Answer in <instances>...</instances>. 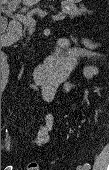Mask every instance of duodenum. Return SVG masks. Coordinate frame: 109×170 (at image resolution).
Wrapping results in <instances>:
<instances>
[{
    "mask_svg": "<svg viewBox=\"0 0 109 170\" xmlns=\"http://www.w3.org/2000/svg\"><path fill=\"white\" fill-rule=\"evenodd\" d=\"M17 23H11L10 29L7 33L3 34L2 45L8 47L12 43V34L13 30L17 29ZM69 41L68 39H61L59 43V50L53 56L48 57L45 61L39 63L34 69L32 76L29 81V87L31 89H40L48 90L54 88L55 82L52 78L49 77V72L53 67H56L60 64L61 61H67L70 64L76 62V57L74 54L63 55L66 50H69Z\"/></svg>",
    "mask_w": 109,
    "mask_h": 170,
    "instance_id": "duodenum-1",
    "label": "duodenum"
}]
</instances>
